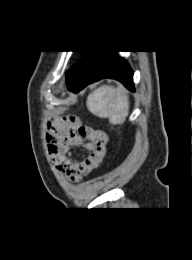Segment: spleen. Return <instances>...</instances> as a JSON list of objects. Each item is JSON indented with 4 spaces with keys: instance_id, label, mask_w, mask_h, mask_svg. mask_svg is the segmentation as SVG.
Listing matches in <instances>:
<instances>
[{
    "instance_id": "1",
    "label": "spleen",
    "mask_w": 192,
    "mask_h": 260,
    "mask_svg": "<svg viewBox=\"0 0 192 260\" xmlns=\"http://www.w3.org/2000/svg\"><path fill=\"white\" fill-rule=\"evenodd\" d=\"M86 105L92 114L108 118L113 125L123 124L129 114V97L123 86H100L88 95Z\"/></svg>"
}]
</instances>
